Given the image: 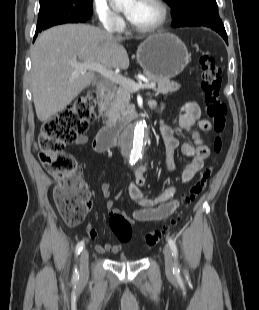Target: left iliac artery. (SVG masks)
<instances>
[{
	"label": "left iliac artery",
	"instance_id": "44dca946",
	"mask_svg": "<svg viewBox=\"0 0 259 310\" xmlns=\"http://www.w3.org/2000/svg\"><path fill=\"white\" fill-rule=\"evenodd\" d=\"M168 244H169L170 249L172 251V255L174 256L175 260H177V258H178V249H177L175 241L172 238H169L168 239ZM173 272H179V268H178V263L177 262H175V266L173 268Z\"/></svg>",
	"mask_w": 259,
	"mask_h": 310
}]
</instances>
